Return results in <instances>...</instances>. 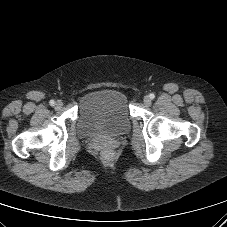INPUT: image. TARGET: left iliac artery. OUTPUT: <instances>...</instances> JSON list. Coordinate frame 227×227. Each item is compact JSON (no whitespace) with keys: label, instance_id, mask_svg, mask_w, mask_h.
I'll return each instance as SVG.
<instances>
[{"label":"left iliac artery","instance_id":"1","mask_svg":"<svg viewBox=\"0 0 227 227\" xmlns=\"http://www.w3.org/2000/svg\"><path fill=\"white\" fill-rule=\"evenodd\" d=\"M149 97H150V99H154V98H155V95H154L153 93H151V94L149 95Z\"/></svg>","mask_w":227,"mask_h":227}]
</instances>
